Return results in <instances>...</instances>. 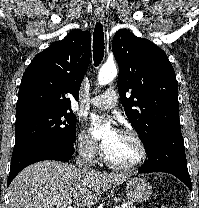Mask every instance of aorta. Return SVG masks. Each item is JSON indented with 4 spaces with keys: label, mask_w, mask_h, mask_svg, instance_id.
<instances>
[{
    "label": "aorta",
    "mask_w": 199,
    "mask_h": 208,
    "mask_svg": "<svg viewBox=\"0 0 199 208\" xmlns=\"http://www.w3.org/2000/svg\"><path fill=\"white\" fill-rule=\"evenodd\" d=\"M117 76V68L114 63H105L98 73V84L106 85L110 83ZM107 130V126L103 125L96 128L93 134L102 135Z\"/></svg>",
    "instance_id": "1"
}]
</instances>
